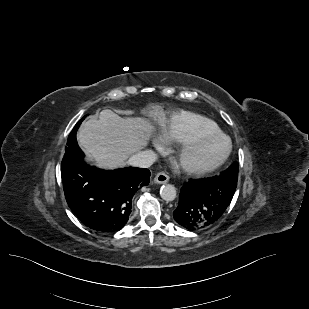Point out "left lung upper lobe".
<instances>
[{
	"instance_id": "5c2ea615",
	"label": "left lung upper lobe",
	"mask_w": 309,
	"mask_h": 309,
	"mask_svg": "<svg viewBox=\"0 0 309 309\" xmlns=\"http://www.w3.org/2000/svg\"><path fill=\"white\" fill-rule=\"evenodd\" d=\"M238 166L239 164L237 162H234L231 164L230 167H228V169L223 171L221 174L231 176L234 179H238Z\"/></svg>"
}]
</instances>
